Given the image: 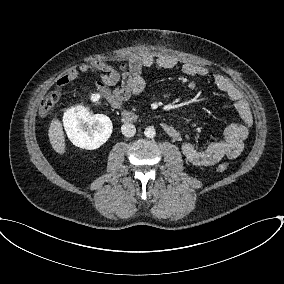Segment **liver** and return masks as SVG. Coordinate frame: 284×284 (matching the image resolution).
<instances>
[{
    "mask_svg": "<svg viewBox=\"0 0 284 284\" xmlns=\"http://www.w3.org/2000/svg\"><path fill=\"white\" fill-rule=\"evenodd\" d=\"M48 136L52 148L58 154L63 155L66 152V143H65L64 132L59 120L53 119L51 121L48 130Z\"/></svg>",
    "mask_w": 284,
    "mask_h": 284,
    "instance_id": "6515ba94",
    "label": "liver"
}]
</instances>
